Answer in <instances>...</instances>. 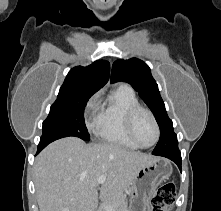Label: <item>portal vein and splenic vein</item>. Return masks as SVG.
Segmentation results:
<instances>
[{
    "label": "portal vein and splenic vein",
    "mask_w": 221,
    "mask_h": 211,
    "mask_svg": "<svg viewBox=\"0 0 221 211\" xmlns=\"http://www.w3.org/2000/svg\"><path fill=\"white\" fill-rule=\"evenodd\" d=\"M105 180H106L105 176H100L97 180V184H103L105 182ZM106 211H112L111 206H107Z\"/></svg>",
    "instance_id": "obj_1"
}]
</instances>
